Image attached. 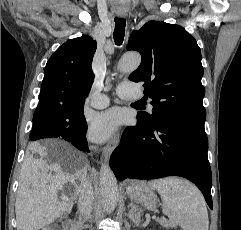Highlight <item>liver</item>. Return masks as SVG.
<instances>
[{
    "instance_id": "obj_1",
    "label": "liver",
    "mask_w": 241,
    "mask_h": 230,
    "mask_svg": "<svg viewBox=\"0 0 241 230\" xmlns=\"http://www.w3.org/2000/svg\"><path fill=\"white\" fill-rule=\"evenodd\" d=\"M51 145L49 150L34 143L26 153L15 202L17 230H38L69 213L74 198L86 181L85 157L64 141H53ZM35 151H38L39 158L33 156ZM49 152L57 157L56 162L46 158ZM68 182L74 186V193L69 200L66 197L60 202L57 193Z\"/></svg>"
}]
</instances>
